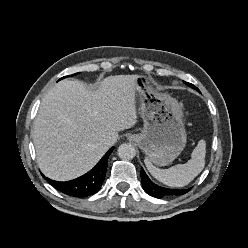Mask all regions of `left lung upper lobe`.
<instances>
[{"instance_id":"1","label":"left lung upper lobe","mask_w":248,"mask_h":248,"mask_svg":"<svg viewBox=\"0 0 248 248\" xmlns=\"http://www.w3.org/2000/svg\"><path fill=\"white\" fill-rule=\"evenodd\" d=\"M185 84H187L189 87L196 89L197 91H199V89L197 87H195L193 84L184 82Z\"/></svg>"}]
</instances>
